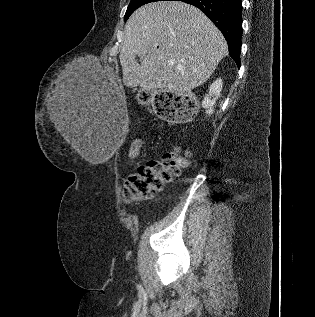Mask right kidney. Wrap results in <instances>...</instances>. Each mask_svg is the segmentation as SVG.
Wrapping results in <instances>:
<instances>
[{
  "instance_id": "right-kidney-1",
  "label": "right kidney",
  "mask_w": 315,
  "mask_h": 317,
  "mask_svg": "<svg viewBox=\"0 0 315 317\" xmlns=\"http://www.w3.org/2000/svg\"><path fill=\"white\" fill-rule=\"evenodd\" d=\"M222 87L223 83L220 78L214 81L209 87V94H207L202 101V107L206 109V114L209 116L214 112V105L216 100L220 97ZM211 97H213V99H211Z\"/></svg>"
}]
</instances>
